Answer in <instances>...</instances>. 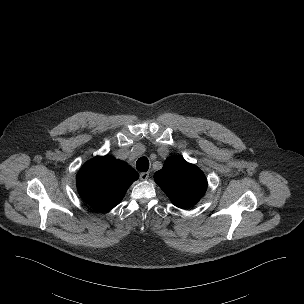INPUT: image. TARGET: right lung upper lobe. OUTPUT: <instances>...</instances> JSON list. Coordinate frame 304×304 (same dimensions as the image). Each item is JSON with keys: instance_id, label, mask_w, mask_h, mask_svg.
<instances>
[{"instance_id": "right-lung-upper-lobe-1", "label": "right lung upper lobe", "mask_w": 304, "mask_h": 304, "mask_svg": "<svg viewBox=\"0 0 304 304\" xmlns=\"http://www.w3.org/2000/svg\"><path fill=\"white\" fill-rule=\"evenodd\" d=\"M138 173L127 163L111 156H97L86 162L77 175L81 198L99 211H108L120 203Z\"/></svg>"}]
</instances>
